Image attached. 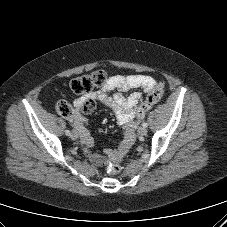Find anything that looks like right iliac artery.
Returning a JSON list of instances; mask_svg holds the SVG:
<instances>
[{"mask_svg":"<svg viewBox=\"0 0 227 227\" xmlns=\"http://www.w3.org/2000/svg\"><path fill=\"white\" fill-rule=\"evenodd\" d=\"M65 134H66L67 136H69L71 133H70L69 130H66V131H65Z\"/></svg>","mask_w":227,"mask_h":227,"instance_id":"82829eb1","label":"right iliac artery"}]
</instances>
